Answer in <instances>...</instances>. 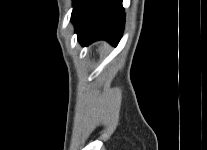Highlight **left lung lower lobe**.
<instances>
[{
  "label": "left lung lower lobe",
  "instance_id": "obj_1",
  "mask_svg": "<svg viewBox=\"0 0 207 150\" xmlns=\"http://www.w3.org/2000/svg\"><path fill=\"white\" fill-rule=\"evenodd\" d=\"M71 20L82 45L104 39L116 46L124 29L122 0H74Z\"/></svg>",
  "mask_w": 207,
  "mask_h": 150
}]
</instances>
